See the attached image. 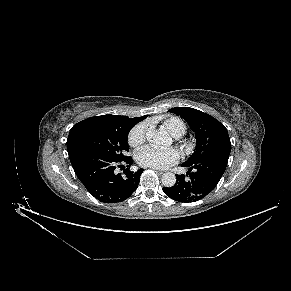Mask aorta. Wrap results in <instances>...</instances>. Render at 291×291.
Masks as SVG:
<instances>
[{
	"label": "aorta",
	"instance_id": "obj_1",
	"mask_svg": "<svg viewBox=\"0 0 291 291\" xmlns=\"http://www.w3.org/2000/svg\"><path fill=\"white\" fill-rule=\"evenodd\" d=\"M146 139L152 145H170L172 142L171 137L166 131L155 130L154 128L147 130ZM161 181L165 187H172L176 183V176L173 173H165L162 175Z\"/></svg>",
	"mask_w": 291,
	"mask_h": 291
}]
</instances>
